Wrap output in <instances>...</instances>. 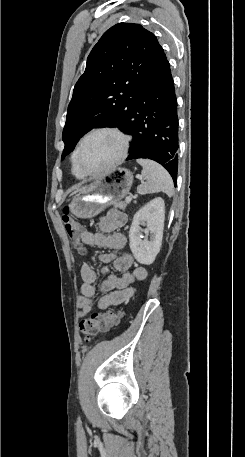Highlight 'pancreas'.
Instances as JSON below:
<instances>
[{"instance_id":"cf45deb5","label":"pancreas","mask_w":245,"mask_h":457,"mask_svg":"<svg viewBox=\"0 0 245 457\" xmlns=\"http://www.w3.org/2000/svg\"><path fill=\"white\" fill-rule=\"evenodd\" d=\"M114 206H118V208H126L128 202L126 200H116V202H113Z\"/></svg>"}]
</instances>
